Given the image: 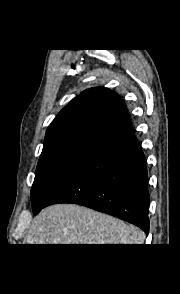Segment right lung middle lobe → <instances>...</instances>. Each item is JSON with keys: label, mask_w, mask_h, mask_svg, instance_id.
Here are the masks:
<instances>
[{"label": "right lung middle lobe", "mask_w": 180, "mask_h": 294, "mask_svg": "<svg viewBox=\"0 0 180 294\" xmlns=\"http://www.w3.org/2000/svg\"><path fill=\"white\" fill-rule=\"evenodd\" d=\"M98 144L92 140H73L42 150L31 189L33 211L49 201Z\"/></svg>", "instance_id": "obj_1"}]
</instances>
